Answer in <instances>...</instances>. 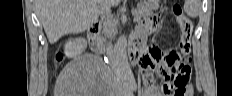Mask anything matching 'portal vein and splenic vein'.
<instances>
[{"instance_id":"obj_1","label":"portal vein and splenic vein","mask_w":232,"mask_h":96,"mask_svg":"<svg viewBox=\"0 0 232 96\" xmlns=\"http://www.w3.org/2000/svg\"><path fill=\"white\" fill-rule=\"evenodd\" d=\"M139 18L137 16L134 17V21H137Z\"/></svg>"}]
</instances>
